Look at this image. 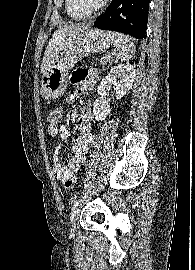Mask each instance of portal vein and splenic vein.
I'll return each mask as SVG.
<instances>
[{
	"mask_svg": "<svg viewBox=\"0 0 195 270\" xmlns=\"http://www.w3.org/2000/svg\"><path fill=\"white\" fill-rule=\"evenodd\" d=\"M109 58L111 57V55L109 54V55H107Z\"/></svg>",
	"mask_w": 195,
	"mask_h": 270,
	"instance_id": "18ae733b",
	"label": "portal vein and splenic vein"
}]
</instances>
